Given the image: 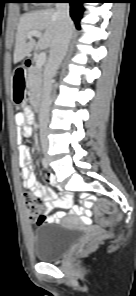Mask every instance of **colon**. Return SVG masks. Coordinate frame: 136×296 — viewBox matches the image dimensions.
<instances>
[{
	"mask_svg": "<svg viewBox=\"0 0 136 296\" xmlns=\"http://www.w3.org/2000/svg\"><path fill=\"white\" fill-rule=\"evenodd\" d=\"M25 208L29 214V216L37 223V224H45L47 221V216L44 211V207L41 201L36 198L33 194L27 192L24 196ZM96 208L114 218H118L119 214L116 207L108 200L100 199L96 203ZM99 238H90L87 243L83 245L84 250H89L93 243Z\"/></svg>",
	"mask_w": 136,
	"mask_h": 296,
	"instance_id": "colon-1",
	"label": "colon"
}]
</instances>
